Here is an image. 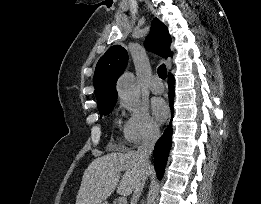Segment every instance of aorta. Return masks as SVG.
<instances>
[{"instance_id":"1","label":"aorta","mask_w":261,"mask_h":204,"mask_svg":"<svg viewBox=\"0 0 261 204\" xmlns=\"http://www.w3.org/2000/svg\"><path fill=\"white\" fill-rule=\"evenodd\" d=\"M119 96L128 101L138 102L140 99V89L135 82L134 75L130 72L124 73L117 85Z\"/></svg>"}]
</instances>
